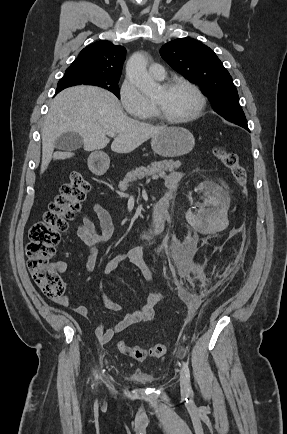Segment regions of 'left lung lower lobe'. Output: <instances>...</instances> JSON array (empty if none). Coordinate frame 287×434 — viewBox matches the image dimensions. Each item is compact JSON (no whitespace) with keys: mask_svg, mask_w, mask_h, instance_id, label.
<instances>
[{"mask_svg":"<svg viewBox=\"0 0 287 434\" xmlns=\"http://www.w3.org/2000/svg\"><path fill=\"white\" fill-rule=\"evenodd\" d=\"M228 121L235 123L243 128H245L246 130L249 131L248 125L246 123V119H241V118H232V119H228Z\"/></svg>","mask_w":287,"mask_h":434,"instance_id":"0a47b994","label":"left lung lower lobe"}]
</instances>
